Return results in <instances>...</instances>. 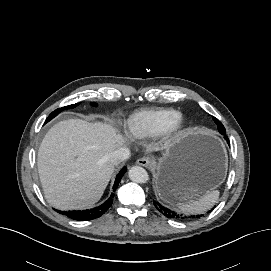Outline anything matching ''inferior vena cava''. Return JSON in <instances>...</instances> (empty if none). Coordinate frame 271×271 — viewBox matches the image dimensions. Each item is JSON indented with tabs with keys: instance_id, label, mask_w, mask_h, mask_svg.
Listing matches in <instances>:
<instances>
[{
	"instance_id": "inferior-vena-cava-1",
	"label": "inferior vena cava",
	"mask_w": 271,
	"mask_h": 271,
	"mask_svg": "<svg viewBox=\"0 0 271 271\" xmlns=\"http://www.w3.org/2000/svg\"><path fill=\"white\" fill-rule=\"evenodd\" d=\"M129 157H130L129 150L127 148H121V149L113 151L110 154L109 159L113 165H117V164L129 159Z\"/></svg>"
}]
</instances>
